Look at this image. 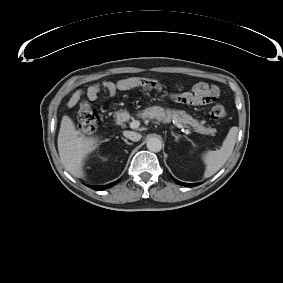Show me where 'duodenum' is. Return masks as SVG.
Instances as JSON below:
<instances>
[{
	"label": "duodenum",
	"instance_id": "1",
	"mask_svg": "<svg viewBox=\"0 0 283 283\" xmlns=\"http://www.w3.org/2000/svg\"><path fill=\"white\" fill-rule=\"evenodd\" d=\"M118 122H123V118H119V119H118Z\"/></svg>",
	"mask_w": 283,
	"mask_h": 283
}]
</instances>
